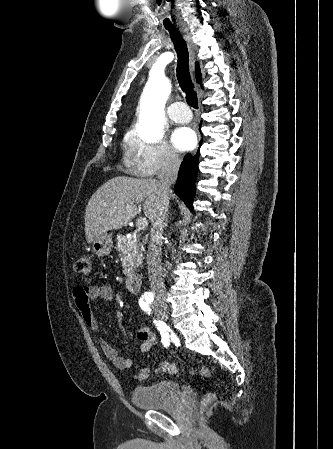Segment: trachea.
<instances>
[{"label":"trachea","mask_w":333,"mask_h":449,"mask_svg":"<svg viewBox=\"0 0 333 449\" xmlns=\"http://www.w3.org/2000/svg\"><path fill=\"white\" fill-rule=\"evenodd\" d=\"M169 31L173 41L175 50L177 52V79L183 92L186 94V101L189 106L197 109L198 99L197 94L193 90V83L189 72V53L186 42L180 36L175 27H166Z\"/></svg>","instance_id":"trachea-1"}]
</instances>
